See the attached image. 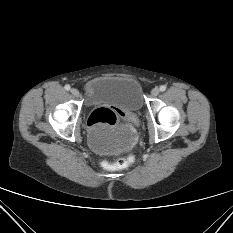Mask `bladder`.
<instances>
[{
    "label": "bladder",
    "instance_id": "bladder-1",
    "mask_svg": "<svg viewBox=\"0 0 233 233\" xmlns=\"http://www.w3.org/2000/svg\"><path fill=\"white\" fill-rule=\"evenodd\" d=\"M86 100L90 105L111 104L126 111L136 112L143 105L139 83L128 76H103L85 83ZM136 131L132 126L104 134L91 130L88 134L89 147L96 153L113 156L128 151L136 141Z\"/></svg>",
    "mask_w": 233,
    "mask_h": 233
}]
</instances>
